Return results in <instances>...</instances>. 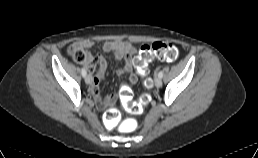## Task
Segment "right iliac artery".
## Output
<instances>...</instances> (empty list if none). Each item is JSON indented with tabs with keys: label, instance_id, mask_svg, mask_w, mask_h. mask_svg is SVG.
Here are the masks:
<instances>
[{
	"label": "right iliac artery",
	"instance_id": "82829eb1",
	"mask_svg": "<svg viewBox=\"0 0 258 158\" xmlns=\"http://www.w3.org/2000/svg\"><path fill=\"white\" fill-rule=\"evenodd\" d=\"M81 74H82L83 77L86 76V70L84 68H82Z\"/></svg>",
	"mask_w": 258,
	"mask_h": 158
}]
</instances>
